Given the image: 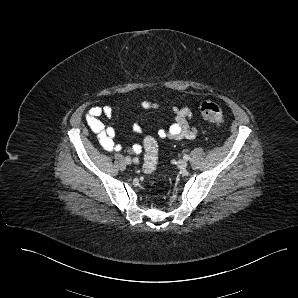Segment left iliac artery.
Here are the masks:
<instances>
[{
	"label": "left iliac artery",
	"instance_id": "obj_1",
	"mask_svg": "<svg viewBox=\"0 0 298 298\" xmlns=\"http://www.w3.org/2000/svg\"><path fill=\"white\" fill-rule=\"evenodd\" d=\"M183 158H184V160H189L190 156L189 155H184Z\"/></svg>",
	"mask_w": 298,
	"mask_h": 298
}]
</instances>
